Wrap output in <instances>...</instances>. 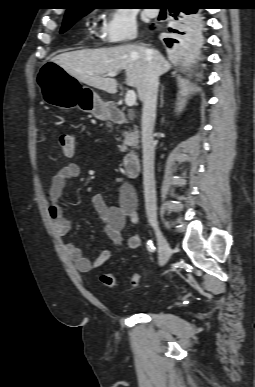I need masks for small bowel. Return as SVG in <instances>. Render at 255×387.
<instances>
[{"label": "small bowel", "instance_id": "1", "mask_svg": "<svg viewBox=\"0 0 255 387\" xmlns=\"http://www.w3.org/2000/svg\"><path fill=\"white\" fill-rule=\"evenodd\" d=\"M81 168L77 163H68L61 167L52 177L48 190L49 215L53 222L55 233L59 237L66 236L71 230V223L65 217L59 201L63 195L67 183L80 176ZM91 203L98 213L105 235L117 246L125 245L128 249H137L141 245V239L134 234L124 242L122 231L129 221L132 224L138 222L137 197L134 189L128 184H121L119 200L116 205H108L105 198L99 194H93ZM64 250L68 257L74 262L80 272H90L108 262L112 257V251L105 249L98 257L91 261L85 257L79 247L75 244L64 243Z\"/></svg>", "mask_w": 255, "mask_h": 387}]
</instances>
